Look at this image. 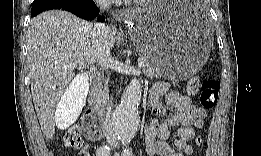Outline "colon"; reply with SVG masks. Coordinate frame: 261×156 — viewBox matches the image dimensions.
Listing matches in <instances>:
<instances>
[{
  "label": "colon",
  "instance_id": "colon-1",
  "mask_svg": "<svg viewBox=\"0 0 261 156\" xmlns=\"http://www.w3.org/2000/svg\"><path fill=\"white\" fill-rule=\"evenodd\" d=\"M220 82L215 78H208L200 83L198 76H192L187 83V91L190 95H195L200 91V104L202 108L211 110L215 107L218 100ZM85 135L89 138H99L102 135V129L96 123H88L85 128ZM65 146L79 149L83 146L82 130L79 126L69 127L62 137ZM195 145H203V137L195 138Z\"/></svg>",
  "mask_w": 261,
  "mask_h": 156
}]
</instances>
